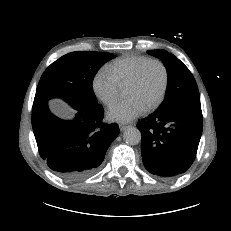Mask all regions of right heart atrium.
Returning a JSON list of instances; mask_svg holds the SVG:
<instances>
[{
  "instance_id": "d8ad5b80",
  "label": "right heart atrium",
  "mask_w": 231,
  "mask_h": 231,
  "mask_svg": "<svg viewBox=\"0 0 231 231\" xmlns=\"http://www.w3.org/2000/svg\"><path fill=\"white\" fill-rule=\"evenodd\" d=\"M93 91L105 105L112 104L120 94V87L111 73L103 68L99 70L93 79Z\"/></svg>"
}]
</instances>
